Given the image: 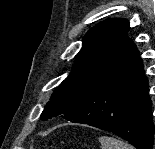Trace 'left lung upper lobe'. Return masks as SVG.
I'll return each instance as SVG.
<instances>
[{"mask_svg": "<svg viewBox=\"0 0 155 149\" xmlns=\"http://www.w3.org/2000/svg\"><path fill=\"white\" fill-rule=\"evenodd\" d=\"M128 30L126 19H107L86 33L71 73L51 95L41 120L64 119L72 111L79 98L112 66Z\"/></svg>", "mask_w": 155, "mask_h": 149, "instance_id": "5c2ea615", "label": "left lung upper lobe"}]
</instances>
